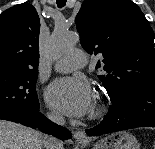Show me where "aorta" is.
I'll return each mask as SVG.
<instances>
[{
	"label": "aorta",
	"mask_w": 155,
	"mask_h": 149,
	"mask_svg": "<svg viewBox=\"0 0 155 149\" xmlns=\"http://www.w3.org/2000/svg\"><path fill=\"white\" fill-rule=\"evenodd\" d=\"M77 42V37L70 33L66 27H56L51 35L48 46V56L57 58L64 52L72 49Z\"/></svg>",
	"instance_id": "1"
}]
</instances>
